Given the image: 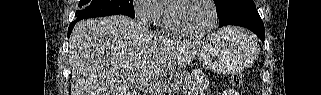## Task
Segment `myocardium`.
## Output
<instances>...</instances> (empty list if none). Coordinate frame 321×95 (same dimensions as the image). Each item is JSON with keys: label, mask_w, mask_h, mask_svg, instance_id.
<instances>
[{"label": "myocardium", "mask_w": 321, "mask_h": 95, "mask_svg": "<svg viewBox=\"0 0 321 95\" xmlns=\"http://www.w3.org/2000/svg\"><path fill=\"white\" fill-rule=\"evenodd\" d=\"M189 0H171L168 2L166 5V17H165V22L167 28L180 36H190V37H197V36H203L208 33H210L213 28L216 26L217 23V17H218V12L216 8V4L214 0H204L207 4H209L212 12V17H211V22L208 25L207 28L200 30V31H195V30H190L186 29L183 27H180L174 20L173 12L176 6H178L181 3L187 2Z\"/></svg>", "instance_id": "f54148a6"}]
</instances>
